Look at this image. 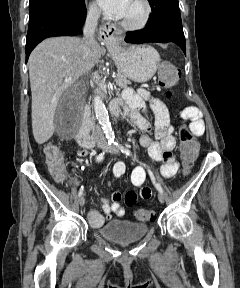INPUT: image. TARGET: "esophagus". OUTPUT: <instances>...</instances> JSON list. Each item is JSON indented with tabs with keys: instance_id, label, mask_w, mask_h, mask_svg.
Segmentation results:
<instances>
[{
	"instance_id": "esophagus-1",
	"label": "esophagus",
	"mask_w": 240,
	"mask_h": 288,
	"mask_svg": "<svg viewBox=\"0 0 240 288\" xmlns=\"http://www.w3.org/2000/svg\"><path fill=\"white\" fill-rule=\"evenodd\" d=\"M100 39L106 44L111 45L115 42V35L119 34V31L116 29L114 24H104L100 27Z\"/></svg>"
}]
</instances>
